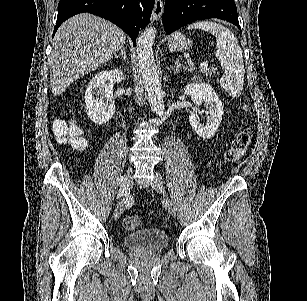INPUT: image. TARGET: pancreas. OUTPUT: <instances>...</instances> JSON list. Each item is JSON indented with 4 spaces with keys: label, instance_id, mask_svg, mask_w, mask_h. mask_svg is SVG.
I'll return each mask as SVG.
<instances>
[{
    "label": "pancreas",
    "instance_id": "pancreas-1",
    "mask_svg": "<svg viewBox=\"0 0 307 301\" xmlns=\"http://www.w3.org/2000/svg\"><path fill=\"white\" fill-rule=\"evenodd\" d=\"M215 68H213V70H205L204 74H206V76H211L212 72H214ZM197 80H199L200 76H196Z\"/></svg>",
    "mask_w": 307,
    "mask_h": 301
}]
</instances>
